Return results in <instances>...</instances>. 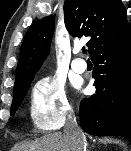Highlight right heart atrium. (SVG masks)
Returning <instances> with one entry per match:
<instances>
[{"label": "right heart atrium", "instance_id": "right-heart-atrium-1", "mask_svg": "<svg viewBox=\"0 0 131 151\" xmlns=\"http://www.w3.org/2000/svg\"><path fill=\"white\" fill-rule=\"evenodd\" d=\"M73 109L62 82L53 76L39 79L33 86L30 115L33 125L42 131L52 132L63 126Z\"/></svg>", "mask_w": 131, "mask_h": 151}]
</instances>
